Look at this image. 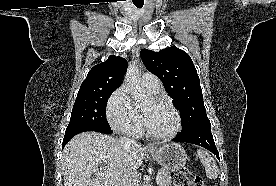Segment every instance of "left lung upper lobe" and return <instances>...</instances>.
<instances>
[{"instance_id": "obj_1", "label": "left lung upper lobe", "mask_w": 276, "mask_h": 186, "mask_svg": "<svg viewBox=\"0 0 276 186\" xmlns=\"http://www.w3.org/2000/svg\"><path fill=\"white\" fill-rule=\"evenodd\" d=\"M141 58L146 68L160 78L182 114V131L189 133L211 126L203 103L199 76L190 56L175 46L159 52L143 49Z\"/></svg>"}]
</instances>
